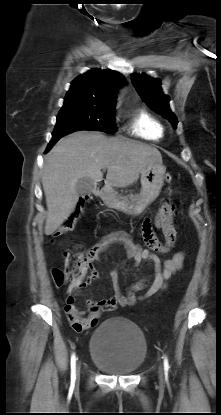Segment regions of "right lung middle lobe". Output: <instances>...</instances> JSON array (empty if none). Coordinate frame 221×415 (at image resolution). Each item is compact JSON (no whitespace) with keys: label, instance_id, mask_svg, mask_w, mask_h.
Here are the masks:
<instances>
[{"label":"right lung middle lobe","instance_id":"dd1d6c3e","mask_svg":"<svg viewBox=\"0 0 221 415\" xmlns=\"http://www.w3.org/2000/svg\"><path fill=\"white\" fill-rule=\"evenodd\" d=\"M114 104L92 100L65 99L57 116L52 137H62L77 130H97L108 134L117 131Z\"/></svg>","mask_w":221,"mask_h":415}]
</instances>
